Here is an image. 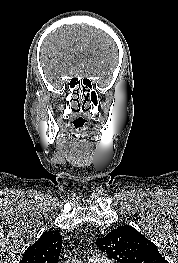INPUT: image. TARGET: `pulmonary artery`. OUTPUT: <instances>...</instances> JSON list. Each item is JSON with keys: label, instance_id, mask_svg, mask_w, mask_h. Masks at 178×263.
<instances>
[{"label": "pulmonary artery", "instance_id": "obj_1", "mask_svg": "<svg viewBox=\"0 0 178 263\" xmlns=\"http://www.w3.org/2000/svg\"><path fill=\"white\" fill-rule=\"evenodd\" d=\"M88 263H110V261L101 254H92L88 259Z\"/></svg>", "mask_w": 178, "mask_h": 263}]
</instances>
